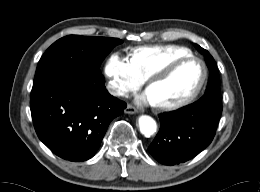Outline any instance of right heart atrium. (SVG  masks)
<instances>
[{
  "mask_svg": "<svg viewBox=\"0 0 260 192\" xmlns=\"http://www.w3.org/2000/svg\"><path fill=\"white\" fill-rule=\"evenodd\" d=\"M106 70L114 85L121 91L136 90L142 83L133 65L118 56H112L109 59Z\"/></svg>",
  "mask_w": 260,
  "mask_h": 192,
  "instance_id": "1",
  "label": "right heart atrium"
}]
</instances>
